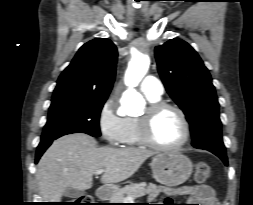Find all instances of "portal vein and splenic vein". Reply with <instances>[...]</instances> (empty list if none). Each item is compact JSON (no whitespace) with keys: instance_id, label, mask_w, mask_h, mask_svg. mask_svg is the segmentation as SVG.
Wrapping results in <instances>:
<instances>
[{"instance_id":"obj_1","label":"portal vein and splenic vein","mask_w":253,"mask_h":205,"mask_svg":"<svg viewBox=\"0 0 253 205\" xmlns=\"http://www.w3.org/2000/svg\"><path fill=\"white\" fill-rule=\"evenodd\" d=\"M103 172H105V170H104V169H100V170H97V171H96V174H97V175H100V174H102ZM127 200H128V201H132L133 199L130 197V198H128Z\"/></svg>"}]
</instances>
